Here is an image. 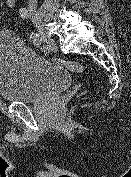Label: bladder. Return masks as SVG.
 Here are the masks:
<instances>
[{
    "mask_svg": "<svg viewBox=\"0 0 131 177\" xmlns=\"http://www.w3.org/2000/svg\"><path fill=\"white\" fill-rule=\"evenodd\" d=\"M71 83L63 66L33 52L14 32H0V98L35 103L60 94Z\"/></svg>",
    "mask_w": 131,
    "mask_h": 177,
    "instance_id": "bladder-1",
    "label": "bladder"
}]
</instances>
